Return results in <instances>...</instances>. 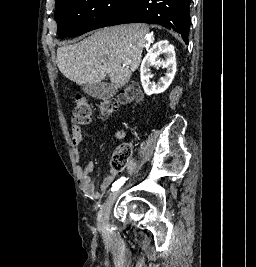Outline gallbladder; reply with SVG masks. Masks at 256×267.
<instances>
[{
  "label": "gallbladder",
  "mask_w": 256,
  "mask_h": 267,
  "mask_svg": "<svg viewBox=\"0 0 256 267\" xmlns=\"http://www.w3.org/2000/svg\"><path fill=\"white\" fill-rule=\"evenodd\" d=\"M85 94H89L92 98L97 100H109L116 94V88L108 86L104 82H98V84H79Z\"/></svg>",
  "instance_id": "gallbladder-1"
}]
</instances>
